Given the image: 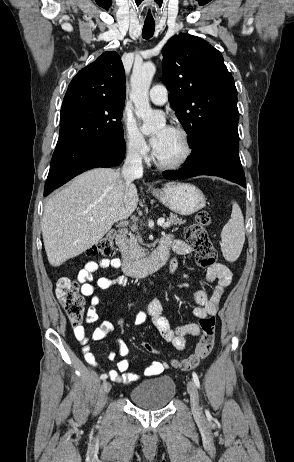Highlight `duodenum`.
Instances as JSON below:
<instances>
[{"label":"duodenum","mask_w":294,"mask_h":462,"mask_svg":"<svg viewBox=\"0 0 294 462\" xmlns=\"http://www.w3.org/2000/svg\"><path fill=\"white\" fill-rule=\"evenodd\" d=\"M128 230L120 227L116 234V244L125 253L122 256V269L129 277H138L153 273L159 270L167 261L169 256V246L161 242L151 254L143 259H131L126 255Z\"/></svg>","instance_id":"410a0bca"}]
</instances>
